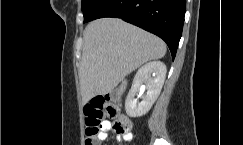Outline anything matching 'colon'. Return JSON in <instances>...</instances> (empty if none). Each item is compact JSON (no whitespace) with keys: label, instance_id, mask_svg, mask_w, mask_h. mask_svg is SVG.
Returning a JSON list of instances; mask_svg holds the SVG:
<instances>
[{"label":"colon","instance_id":"5ec220e1","mask_svg":"<svg viewBox=\"0 0 243 145\" xmlns=\"http://www.w3.org/2000/svg\"><path fill=\"white\" fill-rule=\"evenodd\" d=\"M105 116L118 117L113 126L116 133H124L130 129L129 121L120 117L113 103L105 98L94 99L84 107L85 145H99L97 136Z\"/></svg>","mask_w":243,"mask_h":145}]
</instances>
